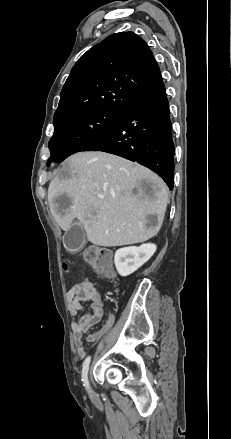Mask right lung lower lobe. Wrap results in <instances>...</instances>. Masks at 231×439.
Returning a JSON list of instances; mask_svg holds the SVG:
<instances>
[{
	"label": "right lung lower lobe",
	"instance_id": "right-lung-lower-lobe-1",
	"mask_svg": "<svg viewBox=\"0 0 231 439\" xmlns=\"http://www.w3.org/2000/svg\"><path fill=\"white\" fill-rule=\"evenodd\" d=\"M83 151H103L137 162L157 173L172 190L174 144L165 89L132 104Z\"/></svg>",
	"mask_w": 231,
	"mask_h": 439
}]
</instances>
